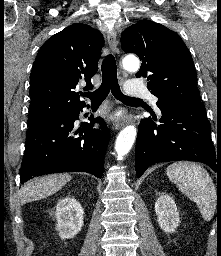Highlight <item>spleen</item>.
I'll return each mask as SVG.
<instances>
[{"label": "spleen", "instance_id": "spleen-1", "mask_svg": "<svg viewBox=\"0 0 221 256\" xmlns=\"http://www.w3.org/2000/svg\"><path fill=\"white\" fill-rule=\"evenodd\" d=\"M166 173L170 181L197 204L202 217L209 221L216 210L217 195L207 171L195 163L175 162L167 167Z\"/></svg>", "mask_w": 221, "mask_h": 256}]
</instances>
